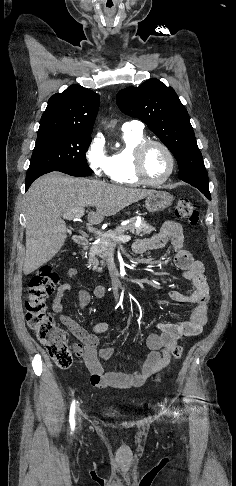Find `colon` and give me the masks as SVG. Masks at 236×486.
I'll list each match as a JSON object with an SVG mask.
<instances>
[{
  "mask_svg": "<svg viewBox=\"0 0 236 486\" xmlns=\"http://www.w3.org/2000/svg\"><path fill=\"white\" fill-rule=\"evenodd\" d=\"M175 217L192 225L198 223L199 213L196 205L187 198H180L175 206ZM59 276L49 265H44L32 276L25 300L26 320L37 339L44 344L53 362L62 368L72 363V351L65 333L56 326L47 309V299L55 292ZM183 353L181 345L172 350L174 359H180Z\"/></svg>",
  "mask_w": 236,
  "mask_h": 486,
  "instance_id": "5ec220e1",
  "label": "colon"
}]
</instances>
